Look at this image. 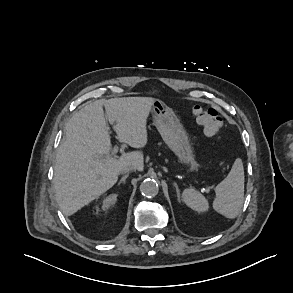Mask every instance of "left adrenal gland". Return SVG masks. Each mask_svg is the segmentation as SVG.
Wrapping results in <instances>:
<instances>
[{
	"instance_id": "a2214340",
	"label": "left adrenal gland",
	"mask_w": 293,
	"mask_h": 293,
	"mask_svg": "<svg viewBox=\"0 0 293 293\" xmlns=\"http://www.w3.org/2000/svg\"><path fill=\"white\" fill-rule=\"evenodd\" d=\"M174 186L176 188L178 201H180V190H179L178 185L176 183H174Z\"/></svg>"
}]
</instances>
